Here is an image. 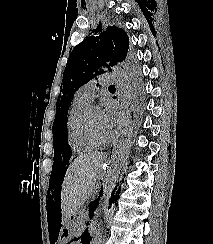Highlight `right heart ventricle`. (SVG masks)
I'll return each mask as SVG.
<instances>
[{"label":"right heart ventricle","mask_w":213,"mask_h":244,"mask_svg":"<svg viewBox=\"0 0 213 244\" xmlns=\"http://www.w3.org/2000/svg\"><path fill=\"white\" fill-rule=\"evenodd\" d=\"M90 102L76 93L67 114V140L76 153L90 152L97 147V143L89 137L85 127V114Z\"/></svg>","instance_id":"obj_1"}]
</instances>
